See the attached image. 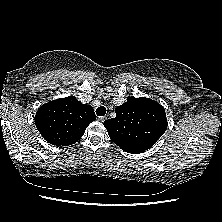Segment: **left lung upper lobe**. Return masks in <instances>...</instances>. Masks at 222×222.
<instances>
[{
    "label": "left lung upper lobe",
    "mask_w": 222,
    "mask_h": 222,
    "mask_svg": "<svg viewBox=\"0 0 222 222\" xmlns=\"http://www.w3.org/2000/svg\"><path fill=\"white\" fill-rule=\"evenodd\" d=\"M116 117L106 120L110 139L124 151L151 148L167 129L164 108L146 97H129L115 109Z\"/></svg>",
    "instance_id": "left-lung-upper-lobe-1"
}]
</instances>
